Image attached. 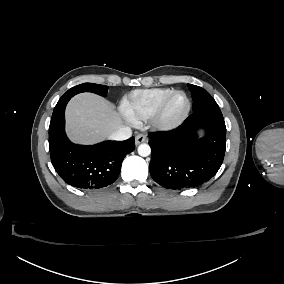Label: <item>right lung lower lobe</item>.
Listing matches in <instances>:
<instances>
[{"instance_id":"obj_1","label":"right lung lower lobe","mask_w":284,"mask_h":284,"mask_svg":"<svg viewBox=\"0 0 284 284\" xmlns=\"http://www.w3.org/2000/svg\"><path fill=\"white\" fill-rule=\"evenodd\" d=\"M71 98L56 104L49 126L51 162L68 184L83 190L111 185L119 176L125 156L135 149V140L104 141L93 146L73 144L65 133V107Z\"/></svg>"}]
</instances>
